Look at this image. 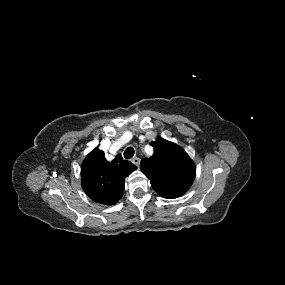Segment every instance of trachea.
Returning a JSON list of instances; mask_svg holds the SVG:
<instances>
[{"label":"trachea","instance_id":"3493384b","mask_svg":"<svg viewBox=\"0 0 285 285\" xmlns=\"http://www.w3.org/2000/svg\"><path fill=\"white\" fill-rule=\"evenodd\" d=\"M135 154V150L133 147H128L125 151H124V157L126 159L132 158Z\"/></svg>","mask_w":285,"mask_h":285}]
</instances>
